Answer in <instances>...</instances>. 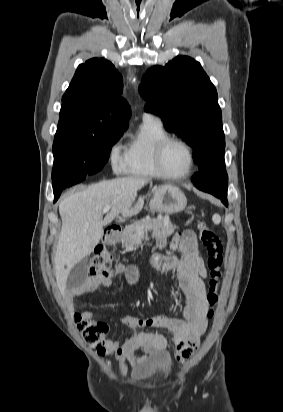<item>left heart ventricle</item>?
<instances>
[{"label":"left heart ventricle","instance_id":"b2bd125f","mask_svg":"<svg viewBox=\"0 0 283 412\" xmlns=\"http://www.w3.org/2000/svg\"><path fill=\"white\" fill-rule=\"evenodd\" d=\"M189 156L183 146L177 143L170 144L163 155L164 169L173 175L185 173L189 167Z\"/></svg>","mask_w":283,"mask_h":412}]
</instances>
